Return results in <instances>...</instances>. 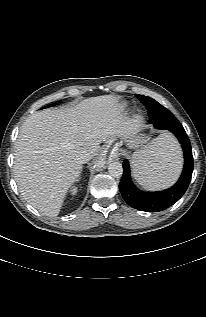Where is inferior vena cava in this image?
<instances>
[{
    "mask_svg": "<svg viewBox=\"0 0 206 317\" xmlns=\"http://www.w3.org/2000/svg\"><path fill=\"white\" fill-rule=\"evenodd\" d=\"M93 156V153L90 151H82L78 154L77 159L81 164H83L90 160Z\"/></svg>",
    "mask_w": 206,
    "mask_h": 317,
    "instance_id": "602c4592",
    "label": "inferior vena cava"
}]
</instances>
